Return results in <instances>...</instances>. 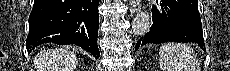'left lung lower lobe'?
<instances>
[{
	"mask_svg": "<svg viewBox=\"0 0 230 71\" xmlns=\"http://www.w3.org/2000/svg\"><path fill=\"white\" fill-rule=\"evenodd\" d=\"M160 5L162 11L152 9V27L137 42L135 51L145 44L164 42H195L205 50L198 1L162 0Z\"/></svg>",
	"mask_w": 230,
	"mask_h": 71,
	"instance_id": "obj_1",
	"label": "left lung lower lobe"
}]
</instances>
